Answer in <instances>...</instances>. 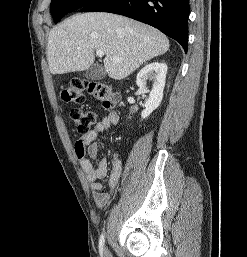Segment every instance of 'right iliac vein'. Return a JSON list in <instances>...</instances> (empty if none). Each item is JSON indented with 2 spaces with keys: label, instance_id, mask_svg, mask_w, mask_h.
<instances>
[{
  "label": "right iliac vein",
  "instance_id": "right-iliac-vein-1",
  "mask_svg": "<svg viewBox=\"0 0 247 257\" xmlns=\"http://www.w3.org/2000/svg\"><path fill=\"white\" fill-rule=\"evenodd\" d=\"M104 257H112L111 253L109 252L108 249H105L104 251Z\"/></svg>",
  "mask_w": 247,
  "mask_h": 257
}]
</instances>
